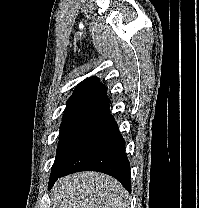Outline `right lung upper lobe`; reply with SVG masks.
Returning a JSON list of instances; mask_svg holds the SVG:
<instances>
[{
    "instance_id": "right-lung-upper-lobe-1",
    "label": "right lung upper lobe",
    "mask_w": 199,
    "mask_h": 208,
    "mask_svg": "<svg viewBox=\"0 0 199 208\" xmlns=\"http://www.w3.org/2000/svg\"><path fill=\"white\" fill-rule=\"evenodd\" d=\"M109 104L107 88L97 77H91L80 83L67 102L66 112L84 109H102Z\"/></svg>"
}]
</instances>
